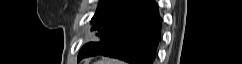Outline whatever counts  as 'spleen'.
<instances>
[{
	"mask_svg": "<svg viewBox=\"0 0 242 64\" xmlns=\"http://www.w3.org/2000/svg\"><path fill=\"white\" fill-rule=\"evenodd\" d=\"M97 64H123V63L118 60L105 59V60L98 61Z\"/></svg>",
	"mask_w": 242,
	"mask_h": 64,
	"instance_id": "1",
	"label": "spleen"
}]
</instances>
